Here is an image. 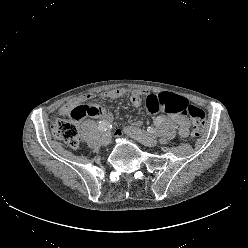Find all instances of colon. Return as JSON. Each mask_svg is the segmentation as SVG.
Segmentation results:
<instances>
[{"label": "colon", "mask_w": 248, "mask_h": 248, "mask_svg": "<svg viewBox=\"0 0 248 248\" xmlns=\"http://www.w3.org/2000/svg\"><path fill=\"white\" fill-rule=\"evenodd\" d=\"M148 113L165 112L168 114H186L191 119L193 125L191 136L199 137L205 129V113L194 105H189L188 101L178 95L163 92L157 95H149L145 102ZM91 108L88 105H78L72 109L70 116L73 120H81L89 115ZM53 137L64 142L72 148H76L80 142L77 126L74 122L57 119L50 125Z\"/></svg>", "instance_id": "1"}]
</instances>
